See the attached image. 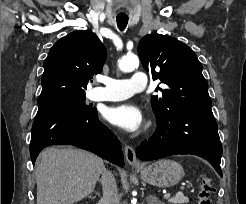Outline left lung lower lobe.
I'll return each mask as SVG.
<instances>
[{"mask_svg": "<svg viewBox=\"0 0 246 204\" xmlns=\"http://www.w3.org/2000/svg\"><path fill=\"white\" fill-rule=\"evenodd\" d=\"M153 137L136 151L140 160L151 161L177 154H193L208 160L222 176V146L211 108L176 110L157 122Z\"/></svg>", "mask_w": 246, "mask_h": 204, "instance_id": "0a47b994", "label": "left lung lower lobe"}]
</instances>
